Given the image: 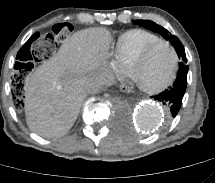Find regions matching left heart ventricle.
Masks as SVG:
<instances>
[{
    "mask_svg": "<svg viewBox=\"0 0 215 183\" xmlns=\"http://www.w3.org/2000/svg\"><path fill=\"white\" fill-rule=\"evenodd\" d=\"M174 68V56L166 45L156 47L149 56L135 67L138 83L146 88H154L165 83Z\"/></svg>",
    "mask_w": 215,
    "mask_h": 183,
    "instance_id": "b2bd125f",
    "label": "left heart ventricle"
}]
</instances>
